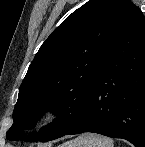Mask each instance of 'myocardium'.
<instances>
[{
	"mask_svg": "<svg viewBox=\"0 0 145 147\" xmlns=\"http://www.w3.org/2000/svg\"><path fill=\"white\" fill-rule=\"evenodd\" d=\"M61 116V111L57 107H47L39 111L34 118V122L39 126H45L56 122Z\"/></svg>",
	"mask_w": 145,
	"mask_h": 147,
	"instance_id": "f54148a6",
	"label": "myocardium"
}]
</instances>
